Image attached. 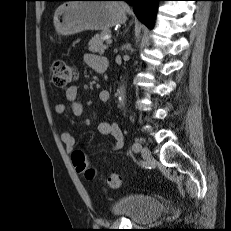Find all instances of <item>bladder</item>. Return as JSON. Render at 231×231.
<instances>
[{
	"mask_svg": "<svg viewBox=\"0 0 231 231\" xmlns=\"http://www.w3.org/2000/svg\"><path fill=\"white\" fill-rule=\"evenodd\" d=\"M110 210L115 216L128 218L135 224L154 222L163 212L162 203L150 196L126 195L111 204Z\"/></svg>",
	"mask_w": 231,
	"mask_h": 231,
	"instance_id": "31cf9c89",
	"label": "bladder"
}]
</instances>
